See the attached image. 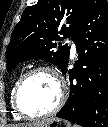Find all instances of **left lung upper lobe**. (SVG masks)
Masks as SVG:
<instances>
[{"label": "left lung upper lobe", "mask_w": 108, "mask_h": 127, "mask_svg": "<svg viewBox=\"0 0 108 127\" xmlns=\"http://www.w3.org/2000/svg\"><path fill=\"white\" fill-rule=\"evenodd\" d=\"M86 2L87 0H38L37 4L26 8L12 32L7 51V70H12L21 60L42 59L65 73L70 46L55 41L68 37L74 40ZM95 66L92 64L90 68V78L94 85L99 72Z\"/></svg>", "instance_id": "5c2ea615"}]
</instances>
